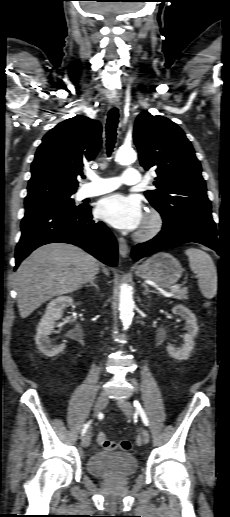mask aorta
I'll return each mask as SVG.
<instances>
[{
	"instance_id": "obj_1",
	"label": "aorta",
	"mask_w": 230,
	"mask_h": 517,
	"mask_svg": "<svg viewBox=\"0 0 230 517\" xmlns=\"http://www.w3.org/2000/svg\"><path fill=\"white\" fill-rule=\"evenodd\" d=\"M136 159V154L131 148H120L115 155V160L120 164L132 163ZM134 301L131 287L127 284L120 286L119 311L120 319L124 329H128L134 316Z\"/></svg>"
}]
</instances>
